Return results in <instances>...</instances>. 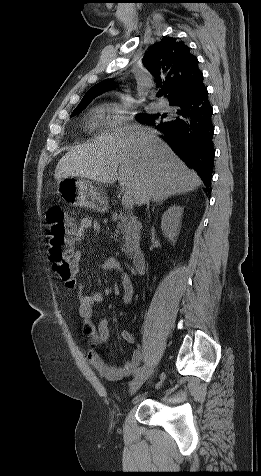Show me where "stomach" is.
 <instances>
[{"instance_id":"1","label":"stomach","mask_w":261,"mask_h":476,"mask_svg":"<svg viewBox=\"0 0 261 476\" xmlns=\"http://www.w3.org/2000/svg\"><path fill=\"white\" fill-rule=\"evenodd\" d=\"M61 196L73 206L106 211L108 198L103 189L82 178L67 177L59 181Z\"/></svg>"}]
</instances>
